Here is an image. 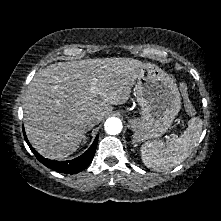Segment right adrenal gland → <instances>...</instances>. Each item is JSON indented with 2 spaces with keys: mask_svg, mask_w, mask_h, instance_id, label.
I'll list each match as a JSON object with an SVG mask.
<instances>
[{
  "mask_svg": "<svg viewBox=\"0 0 221 221\" xmlns=\"http://www.w3.org/2000/svg\"><path fill=\"white\" fill-rule=\"evenodd\" d=\"M90 130V128H87L86 130H85V133H84V137H83V142H85V140H86V133L88 132Z\"/></svg>",
  "mask_w": 221,
  "mask_h": 221,
  "instance_id": "1",
  "label": "right adrenal gland"
}]
</instances>
